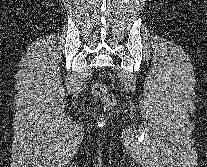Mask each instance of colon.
Masks as SVG:
<instances>
[{
  "label": "colon",
  "instance_id": "colon-1",
  "mask_svg": "<svg viewBox=\"0 0 207 167\" xmlns=\"http://www.w3.org/2000/svg\"><path fill=\"white\" fill-rule=\"evenodd\" d=\"M91 92L102 101L106 109L112 108L116 103L115 96L110 93L107 86L102 83L93 82L91 85Z\"/></svg>",
  "mask_w": 207,
  "mask_h": 167
}]
</instances>
